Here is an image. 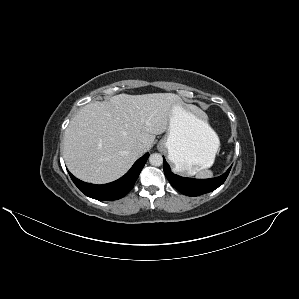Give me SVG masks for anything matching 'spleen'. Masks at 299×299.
Listing matches in <instances>:
<instances>
[{"mask_svg": "<svg viewBox=\"0 0 299 299\" xmlns=\"http://www.w3.org/2000/svg\"><path fill=\"white\" fill-rule=\"evenodd\" d=\"M229 159H230V156H228V160ZM189 174L196 175V177L200 178V179H207V178L213 177V172L211 170L189 171Z\"/></svg>", "mask_w": 299, "mask_h": 299, "instance_id": "3e777b00", "label": "spleen"}]
</instances>
